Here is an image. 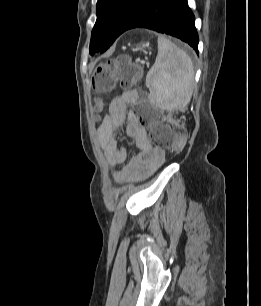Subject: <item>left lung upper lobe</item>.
<instances>
[{
    "label": "left lung upper lobe",
    "mask_w": 261,
    "mask_h": 306,
    "mask_svg": "<svg viewBox=\"0 0 261 306\" xmlns=\"http://www.w3.org/2000/svg\"><path fill=\"white\" fill-rule=\"evenodd\" d=\"M145 0H98L90 54L106 51L121 35Z\"/></svg>",
    "instance_id": "left-lung-upper-lobe-1"
}]
</instances>
